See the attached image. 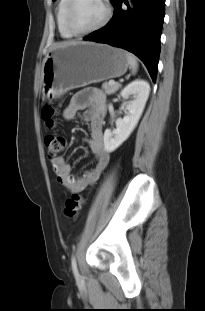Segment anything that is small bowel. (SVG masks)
Returning a JSON list of instances; mask_svg holds the SVG:
<instances>
[{
	"instance_id": "1",
	"label": "small bowel",
	"mask_w": 205,
	"mask_h": 311,
	"mask_svg": "<svg viewBox=\"0 0 205 311\" xmlns=\"http://www.w3.org/2000/svg\"><path fill=\"white\" fill-rule=\"evenodd\" d=\"M79 112H84L82 120L89 125L90 137L86 142L96 159L94 167L77 176L72 173L71 165L63 156L51 159L57 181L72 193H79L93 185L110 160V154L103 142L104 122L107 113L104 93L96 88L81 90L72 97L63 110L62 116L64 120L71 121Z\"/></svg>"
}]
</instances>
